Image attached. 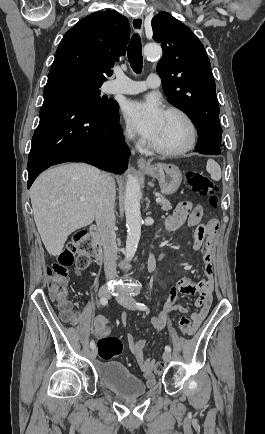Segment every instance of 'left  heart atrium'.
I'll list each match as a JSON object with an SVG mask.
<instances>
[{"mask_svg":"<svg viewBox=\"0 0 265 434\" xmlns=\"http://www.w3.org/2000/svg\"><path fill=\"white\" fill-rule=\"evenodd\" d=\"M158 101L154 97L143 101H130L124 108L128 125L149 142L156 138L165 116Z\"/></svg>","mask_w":265,"mask_h":434,"instance_id":"obj_1","label":"left heart atrium"}]
</instances>
